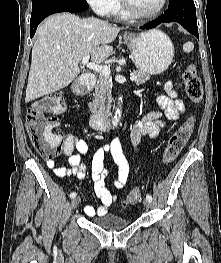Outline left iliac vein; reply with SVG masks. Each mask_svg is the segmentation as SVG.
I'll return each mask as SVG.
<instances>
[{
    "label": "left iliac vein",
    "mask_w": 221,
    "mask_h": 263,
    "mask_svg": "<svg viewBox=\"0 0 221 263\" xmlns=\"http://www.w3.org/2000/svg\"><path fill=\"white\" fill-rule=\"evenodd\" d=\"M143 205L145 208H150V202L147 199L143 201Z\"/></svg>",
    "instance_id": "4c4485c4"
}]
</instances>
